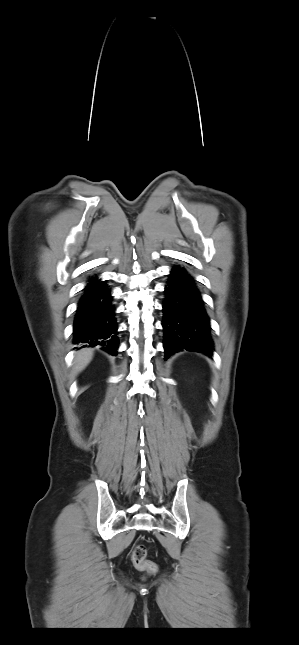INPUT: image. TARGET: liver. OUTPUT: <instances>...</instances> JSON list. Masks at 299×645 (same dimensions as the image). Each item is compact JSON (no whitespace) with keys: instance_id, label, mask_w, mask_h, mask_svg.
I'll return each mask as SVG.
<instances>
[{"instance_id":"1","label":"liver","mask_w":299,"mask_h":645,"mask_svg":"<svg viewBox=\"0 0 299 645\" xmlns=\"http://www.w3.org/2000/svg\"><path fill=\"white\" fill-rule=\"evenodd\" d=\"M93 357V351L91 349H82L76 353L74 364H75V373L81 372L85 367L90 363Z\"/></svg>"}]
</instances>
